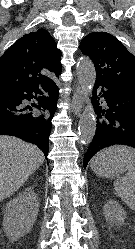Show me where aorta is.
<instances>
[{"label": "aorta", "instance_id": "aorta-1", "mask_svg": "<svg viewBox=\"0 0 135 249\" xmlns=\"http://www.w3.org/2000/svg\"><path fill=\"white\" fill-rule=\"evenodd\" d=\"M77 77L86 100V107L79 120V138L83 144H90L96 131V116L91 104L92 88L95 84L96 73L88 58H81L76 67Z\"/></svg>", "mask_w": 135, "mask_h": 249}]
</instances>
